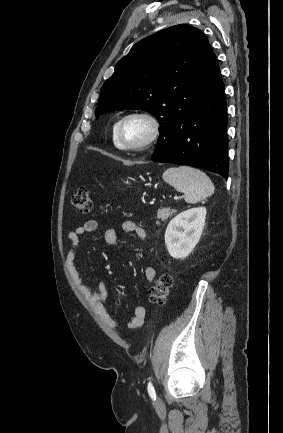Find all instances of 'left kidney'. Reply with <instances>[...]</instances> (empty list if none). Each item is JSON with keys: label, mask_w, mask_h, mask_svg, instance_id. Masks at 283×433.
<instances>
[{"label": "left kidney", "mask_w": 283, "mask_h": 433, "mask_svg": "<svg viewBox=\"0 0 283 433\" xmlns=\"http://www.w3.org/2000/svg\"><path fill=\"white\" fill-rule=\"evenodd\" d=\"M206 213L205 207L192 208L181 212L169 222L165 244L170 256L183 259L192 252L201 237Z\"/></svg>", "instance_id": "1"}]
</instances>
